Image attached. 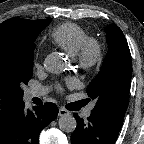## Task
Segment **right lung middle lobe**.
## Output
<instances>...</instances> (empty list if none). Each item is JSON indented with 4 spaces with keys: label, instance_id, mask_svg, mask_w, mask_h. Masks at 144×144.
Here are the masks:
<instances>
[{
    "label": "right lung middle lobe",
    "instance_id": "1",
    "mask_svg": "<svg viewBox=\"0 0 144 144\" xmlns=\"http://www.w3.org/2000/svg\"><path fill=\"white\" fill-rule=\"evenodd\" d=\"M51 19L48 21L50 23ZM42 29H35L22 34L18 38L15 49L10 52L5 61L7 78L19 96H23L22 84H27L33 75L34 41Z\"/></svg>",
    "mask_w": 144,
    "mask_h": 144
}]
</instances>
